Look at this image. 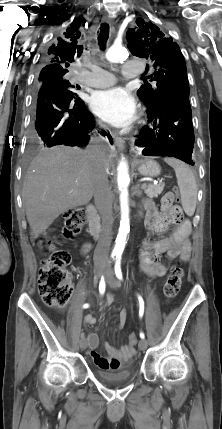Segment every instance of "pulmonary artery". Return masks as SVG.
<instances>
[{"label":"pulmonary artery","instance_id":"e3ab8cb5","mask_svg":"<svg viewBox=\"0 0 222 429\" xmlns=\"http://www.w3.org/2000/svg\"><path fill=\"white\" fill-rule=\"evenodd\" d=\"M91 71L86 77L81 79V82L87 86L94 88L107 87L115 82V76L97 66H90ZM123 75L126 78H134L142 73V69L138 62L128 61L123 65Z\"/></svg>","mask_w":222,"mask_h":429}]
</instances>
